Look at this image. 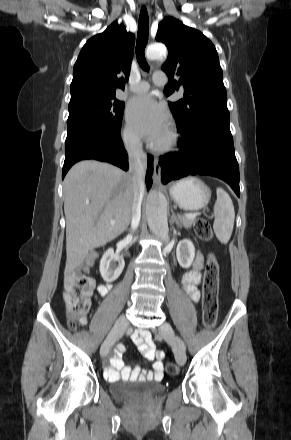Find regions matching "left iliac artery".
<instances>
[{"label":"left iliac artery","instance_id":"44dca946","mask_svg":"<svg viewBox=\"0 0 291 440\" xmlns=\"http://www.w3.org/2000/svg\"><path fill=\"white\" fill-rule=\"evenodd\" d=\"M177 341L180 344V346L185 350V345H184L183 341L180 338H177Z\"/></svg>","mask_w":291,"mask_h":440}]
</instances>
